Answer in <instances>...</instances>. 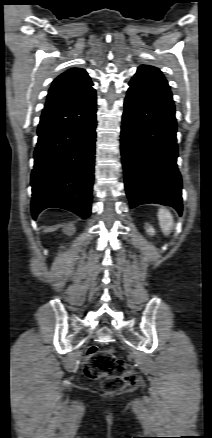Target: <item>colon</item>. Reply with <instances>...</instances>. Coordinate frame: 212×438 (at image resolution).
<instances>
[{"instance_id":"5ec220e1","label":"colon","mask_w":212,"mask_h":438,"mask_svg":"<svg viewBox=\"0 0 212 438\" xmlns=\"http://www.w3.org/2000/svg\"><path fill=\"white\" fill-rule=\"evenodd\" d=\"M84 373L91 379H103L108 393L120 391L137 383V376L128 363L117 358L111 349L92 346L84 362Z\"/></svg>"}]
</instances>
